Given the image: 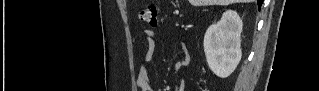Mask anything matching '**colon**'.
<instances>
[{
	"instance_id": "1",
	"label": "colon",
	"mask_w": 319,
	"mask_h": 91,
	"mask_svg": "<svg viewBox=\"0 0 319 91\" xmlns=\"http://www.w3.org/2000/svg\"><path fill=\"white\" fill-rule=\"evenodd\" d=\"M157 11L158 8L155 4H149L140 12V19L151 28H156L158 26L157 21Z\"/></svg>"
}]
</instances>
